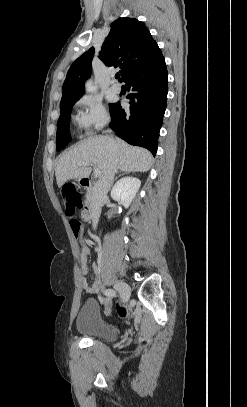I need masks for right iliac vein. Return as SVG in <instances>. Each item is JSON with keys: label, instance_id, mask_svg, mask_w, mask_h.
<instances>
[{"label": "right iliac vein", "instance_id": "1", "mask_svg": "<svg viewBox=\"0 0 247 407\" xmlns=\"http://www.w3.org/2000/svg\"><path fill=\"white\" fill-rule=\"evenodd\" d=\"M114 287L120 292L122 301L124 303L128 302L131 294L130 286L122 281H117Z\"/></svg>", "mask_w": 247, "mask_h": 407}]
</instances>
